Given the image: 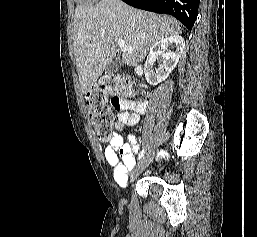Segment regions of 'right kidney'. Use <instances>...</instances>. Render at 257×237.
<instances>
[{
	"instance_id": "obj_1",
	"label": "right kidney",
	"mask_w": 257,
	"mask_h": 237,
	"mask_svg": "<svg viewBox=\"0 0 257 237\" xmlns=\"http://www.w3.org/2000/svg\"><path fill=\"white\" fill-rule=\"evenodd\" d=\"M168 47H171L173 51L168 50ZM184 47L185 41L179 35L168 36L156 42L151 47L145 63L144 73L147 82L151 85H157L167 79L176 67ZM158 55L163 57V63L158 69H154V62Z\"/></svg>"
}]
</instances>
